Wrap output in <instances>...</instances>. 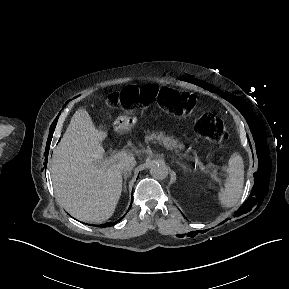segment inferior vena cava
<instances>
[{"instance_id": "obj_1", "label": "inferior vena cava", "mask_w": 289, "mask_h": 289, "mask_svg": "<svg viewBox=\"0 0 289 289\" xmlns=\"http://www.w3.org/2000/svg\"><path fill=\"white\" fill-rule=\"evenodd\" d=\"M136 165V160L133 157L127 158L124 161H122L118 168L121 173L127 174L128 172H131L134 166Z\"/></svg>"}]
</instances>
